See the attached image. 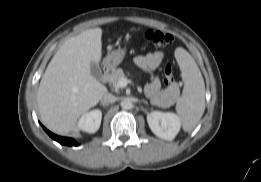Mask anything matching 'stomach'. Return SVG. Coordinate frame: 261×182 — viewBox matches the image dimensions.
<instances>
[{
  "instance_id": "1",
  "label": "stomach",
  "mask_w": 261,
  "mask_h": 182,
  "mask_svg": "<svg viewBox=\"0 0 261 182\" xmlns=\"http://www.w3.org/2000/svg\"><path fill=\"white\" fill-rule=\"evenodd\" d=\"M125 49L113 50L104 59V66L110 70H114L124 59Z\"/></svg>"
}]
</instances>
